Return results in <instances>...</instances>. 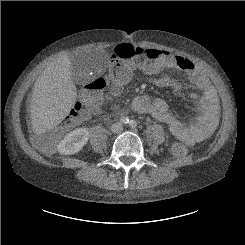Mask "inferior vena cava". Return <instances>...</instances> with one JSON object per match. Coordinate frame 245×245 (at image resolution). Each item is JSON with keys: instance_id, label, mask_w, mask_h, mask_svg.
Returning a JSON list of instances; mask_svg holds the SVG:
<instances>
[{"instance_id": "602c4592", "label": "inferior vena cava", "mask_w": 245, "mask_h": 245, "mask_svg": "<svg viewBox=\"0 0 245 245\" xmlns=\"http://www.w3.org/2000/svg\"><path fill=\"white\" fill-rule=\"evenodd\" d=\"M122 130H123V126L119 122L113 123L112 126H111V131L113 133H121Z\"/></svg>"}]
</instances>
